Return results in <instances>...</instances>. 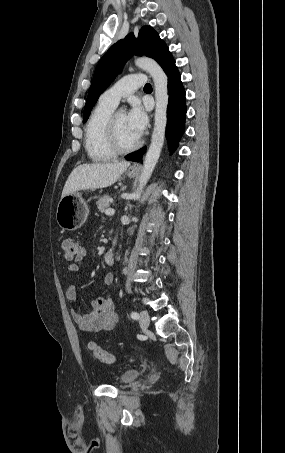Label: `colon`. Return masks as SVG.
I'll list each match as a JSON object with an SVG mask.
<instances>
[{
    "instance_id": "1",
    "label": "colon",
    "mask_w": 285,
    "mask_h": 453,
    "mask_svg": "<svg viewBox=\"0 0 285 453\" xmlns=\"http://www.w3.org/2000/svg\"><path fill=\"white\" fill-rule=\"evenodd\" d=\"M62 250L64 257L68 261L76 260L80 254L81 247L79 243L73 238H65L62 241ZM89 349L93 356L98 359L100 362L105 364H113L115 362V356L110 352L104 350L99 345L94 342L89 344Z\"/></svg>"
}]
</instances>
